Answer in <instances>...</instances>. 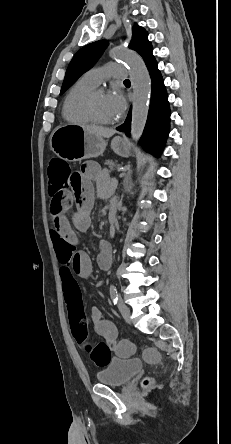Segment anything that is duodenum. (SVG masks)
<instances>
[{
  "label": "duodenum",
  "mask_w": 231,
  "mask_h": 444,
  "mask_svg": "<svg viewBox=\"0 0 231 444\" xmlns=\"http://www.w3.org/2000/svg\"><path fill=\"white\" fill-rule=\"evenodd\" d=\"M108 217H109V228L111 230H113L114 227H115V224L117 222V218H118V213H117L116 206L113 205L110 208L109 213H108Z\"/></svg>",
  "instance_id": "obj_1"
}]
</instances>
